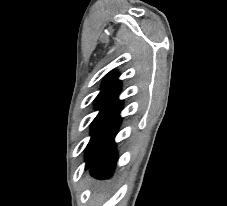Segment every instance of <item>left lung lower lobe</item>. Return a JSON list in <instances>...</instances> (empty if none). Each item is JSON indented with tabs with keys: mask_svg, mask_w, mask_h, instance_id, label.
<instances>
[{
	"mask_svg": "<svg viewBox=\"0 0 227 206\" xmlns=\"http://www.w3.org/2000/svg\"><path fill=\"white\" fill-rule=\"evenodd\" d=\"M122 101L115 98L106 109L92 137L85 169L98 179L111 177L116 163L114 137L121 122Z\"/></svg>",
	"mask_w": 227,
	"mask_h": 206,
	"instance_id": "obj_1",
	"label": "left lung lower lobe"
}]
</instances>
